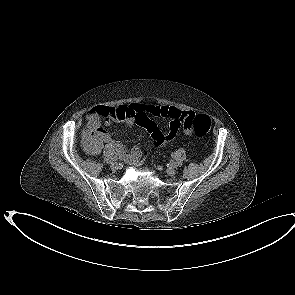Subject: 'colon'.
<instances>
[{"instance_id":"5ec220e1","label":"colon","mask_w":295,"mask_h":295,"mask_svg":"<svg viewBox=\"0 0 295 295\" xmlns=\"http://www.w3.org/2000/svg\"><path fill=\"white\" fill-rule=\"evenodd\" d=\"M181 122L185 128L193 129L195 134L200 137L207 135L211 128V120L205 114L181 116ZM156 148L157 142L150 140L144 147V152L151 154Z\"/></svg>"}]
</instances>
